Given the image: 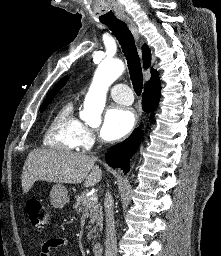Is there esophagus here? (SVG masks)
Here are the masks:
<instances>
[{
  "mask_svg": "<svg viewBox=\"0 0 221 256\" xmlns=\"http://www.w3.org/2000/svg\"><path fill=\"white\" fill-rule=\"evenodd\" d=\"M123 21L127 24L128 28L130 29V31L132 32V34L134 35V38L136 39V41H140V36H139V32L134 24V22L131 20V18L129 17H123Z\"/></svg>",
  "mask_w": 221,
  "mask_h": 256,
  "instance_id": "esophagus-1",
  "label": "esophagus"
}]
</instances>
